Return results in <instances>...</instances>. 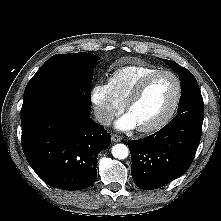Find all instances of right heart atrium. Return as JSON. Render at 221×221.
<instances>
[{"instance_id":"right-heart-atrium-1","label":"right heart atrium","mask_w":221,"mask_h":221,"mask_svg":"<svg viewBox=\"0 0 221 221\" xmlns=\"http://www.w3.org/2000/svg\"><path fill=\"white\" fill-rule=\"evenodd\" d=\"M90 101L94 116L102 125L109 124L123 109V105L115 99L109 86L104 83H96L91 87Z\"/></svg>"}]
</instances>
